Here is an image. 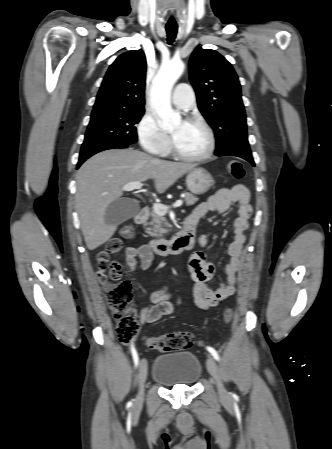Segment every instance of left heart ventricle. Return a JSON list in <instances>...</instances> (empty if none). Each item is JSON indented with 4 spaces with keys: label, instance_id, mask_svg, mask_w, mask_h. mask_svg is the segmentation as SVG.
I'll return each instance as SVG.
<instances>
[{
    "label": "left heart ventricle",
    "instance_id": "left-heart-ventricle-1",
    "mask_svg": "<svg viewBox=\"0 0 332 449\" xmlns=\"http://www.w3.org/2000/svg\"><path fill=\"white\" fill-rule=\"evenodd\" d=\"M171 134L176 147L185 154L198 155L207 148V136L196 124L178 122L172 128Z\"/></svg>",
    "mask_w": 332,
    "mask_h": 449
}]
</instances>
